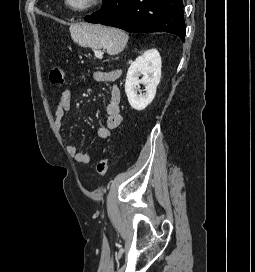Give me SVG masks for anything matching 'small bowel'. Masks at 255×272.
<instances>
[{
  "label": "small bowel",
  "mask_w": 255,
  "mask_h": 272,
  "mask_svg": "<svg viewBox=\"0 0 255 272\" xmlns=\"http://www.w3.org/2000/svg\"><path fill=\"white\" fill-rule=\"evenodd\" d=\"M121 75L119 69L110 71H96L93 73V79L98 82L110 83L117 80ZM73 99L71 90L66 89L60 95L54 110V124L58 130L62 129L63 119L70 109ZM121 92L117 86H113L110 90L109 102L106 107V122L99 127L97 134L100 138H108L119 128L122 122L120 114ZM69 152L72 154L74 160L78 163L87 164L90 161V155L86 152L79 151L73 144L68 146Z\"/></svg>",
  "instance_id": "obj_1"
}]
</instances>
